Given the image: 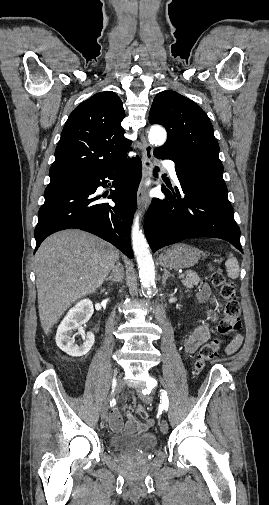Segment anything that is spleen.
<instances>
[{"label": "spleen", "instance_id": "spleen-1", "mask_svg": "<svg viewBox=\"0 0 269 505\" xmlns=\"http://www.w3.org/2000/svg\"><path fill=\"white\" fill-rule=\"evenodd\" d=\"M227 275L232 279H236L239 276L240 268L237 259L232 253L229 254L228 259L225 262Z\"/></svg>", "mask_w": 269, "mask_h": 505}]
</instances>
